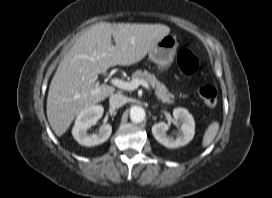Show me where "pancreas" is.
<instances>
[{
    "label": "pancreas",
    "mask_w": 272,
    "mask_h": 198,
    "mask_svg": "<svg viewBox=\"0 0 272 198\" xmlns=\"http://www.w3.org/2000/svg\"><path fill=\"white\" fill-rule=\"evenodd\" d=\"M139 79L146 81L153 89H155V94L157 99L162 103L173 104L174 103V95L168 92L166 86L161 83L154 74L149 73L144 70H136L132 74V80Z\"/></svg>",
    "instance_id": "pancreas-1"
}]
</instances>
